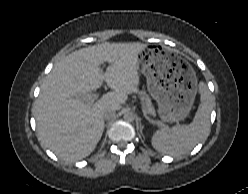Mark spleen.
Masks as SVG:
<instances>
[{
  "mask_svg": "<svg viewBox=\"0 0 248 194\" xmlns=\"http://www.w3.org/2000/svg\"><path fill=\"white\" fill-rule=\"evenodd\" d=\"M199 93L201 102L191 124L176 125L153 134L151 143L157 151L173 156L183 155L208 136L213 97L204 82L199 84Z\"/></svg>",
  "mask_w": 248,
  "mask_h": 194,
  "instance_id": "spleen-1",
  "label": "spleen"
}]
</instances>
